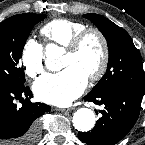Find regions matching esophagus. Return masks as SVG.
Masks as SVG:
<instances>
[{"label":"esophagus","instance_id":"1","mask_svg":"<svg viewBox=\"0 0 145 145\" xmlns=\"http://www.w3.org/2000/svg\"><path fill=\"white\" fill-rule=\"evenodd\" d=\"M58 110L61 112H69L72 110V108H59Z\"/></svg>","mask_w":145,"mask_h":145}]
</instances>
